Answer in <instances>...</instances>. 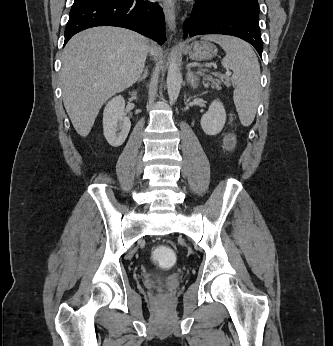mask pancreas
I'll return each instance as SVG.
<instances>
[{
    "mask_svg": "<svg viewBox=\"0 0 333 346\" xmlns=\"http://www.w3.org/2000/svg\"><path fill=\"white\" fill-rule=\"evenodd\" d=\"M201 76H204L203 74L200 73ZM215 77H217L216 79L213 78L212 76H205L204 80L207 81V83H204L205 87H208L209 85H211L213 88L216 89H220V84L224 83L227 87L230 86L229 84V79L227 76H222L219 74H213Z\"/></svg>",
    "mask_w": 333,
    "mask_h": 346,
    "instance_id": "cf45deb5",
    "label": "pancreas"
}]
</instances>
